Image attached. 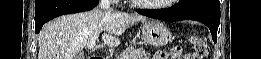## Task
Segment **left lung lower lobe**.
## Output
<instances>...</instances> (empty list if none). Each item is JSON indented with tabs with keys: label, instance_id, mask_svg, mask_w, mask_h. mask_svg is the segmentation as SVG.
I'll return each instance as SVG.
<instances>
[{
	"label": "left lung lower lobe",
	"instance_id": "1",
	"mask_svg": "<svg viewBox=\"0 0 261 59\" xmlns=\"http://www.w3.org/2000/svg\"><path fill=\"white\" fill-rule=\"evenodd\" d=\"M137 12L166 21L187 19L202 22L209 27L214 42L217 40V30L220 23L219 0H186L165 11L138 9Z\"/></svg>",
	"mask_w": 261,
	"mask_h": 59
}]
</instances>
